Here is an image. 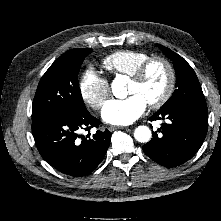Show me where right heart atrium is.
<instances>
[{
    "mask_svg": "<svg viewBox=\"0 0 221 221\" xmlns=\"http://www.w3.org/2000/svg\"><path fill=\"white\" fill-rule=\"evenodd\" d=\"M79 90L83 100L95 110H99L110 95L108 80L92 68L82 74Z\"/></svg>",
    "mask_w": 221,
    "mask_h": 221,
    "instance_id": "right-heart-atrium-1",
    "label": "right heart atrium"
}]
</instances>
